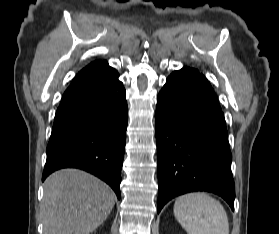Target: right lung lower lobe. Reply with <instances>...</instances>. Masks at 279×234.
I'll use <instances>...</instances> for the list:
<instances>
[{
    "mask_svg": "<svg viewBox=\"0 0 279 234\" xmlns=\"http://www.w3.org/2000/svg\"><path fill=\"white\" fill-rule=\"evenodd\" d=\"M107 62L76 76L56 111L42 181L61 168H79L108 183L120 199L126 142V91Z\"/></svg>",
    "mask_w": 279,
    "mask_h": 234,
    "instance_id": "98d812e1",
    "label": "right lung lower lobe"
}]
</instances>
